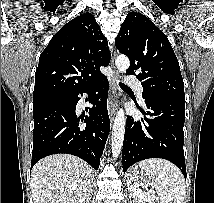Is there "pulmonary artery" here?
I'll use <instances>...</instances> for the list:
<instances>
[{
	"label": "pulmonary artery",
	"instance_id": "pulmonary-artery-1",
	"mask_svg": "<svg viewBox=\"0 0 214 203\" xmlns=\"http://www.w3.org/2000/svg\"><path fill=\"white\" fill-rule=\"evenodd\" d=\"M126 82L130 87L134 88L137 91L139 97L142 98L143 87H142L141 82L139 80H137L136 78H133L132 76H128Z\"/></svg>",
	"mask_w": 214,
	"mask_h": 203
}]
</instances>
